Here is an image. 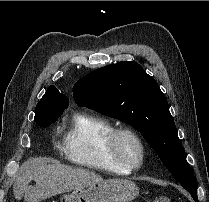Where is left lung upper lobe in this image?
Here are the masks:
<instances>
[{
	"instance_id": "1",
	"label": "left lung upper lobe",
	"mask_w": 209,
	"mask_h": 202,
	"mask_svg": "<svg viewBox=\"0 0 209 202\" xmlns=\"http://www.w3.org/2000/svg\"><path fill=\"white\" fill-rule=\"evenodd\" d=\"M73 96L79 106L137 129L183 188L197 195L195 176L184 158L167 99L138 63L122 61L85 75L75 83Z\"/></svg>"
}]
</instances>
